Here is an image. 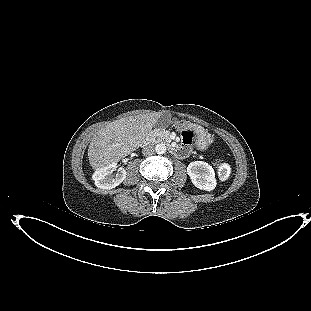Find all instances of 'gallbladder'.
Returning <instances> with one entry per match:
<instances>
[{"label": "gallbladder", "mask_w": 311, "mask_h": 311, "mask_svg": "<svg viewBox=\"0 0 311 311\" xmlns=\"http://www.w3.org/2000/svg\"><path fill=\"white\" fill-rule=\"evenodd\" d=\"M171 123V115L168 112L162 113L157 121V127H166Z\"/></svg>", "instance_id": "1"}]
</instances>
